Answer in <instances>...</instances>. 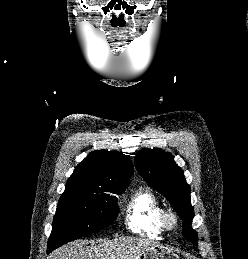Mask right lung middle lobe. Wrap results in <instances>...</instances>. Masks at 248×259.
Segmentation results:
<instances>
[{
	"label": "right lung middle lobe",
	"mask_w": 248,
	"mask_h": 259,
	"mask_svg": "<svg viewBox=\"0 0 248 259\" xmlns=\"http://www.w3.org/2000/svg\"><path fill=\"white\" fill-rule=\"evenodd\" d=\"M125 189H65L57 205L48 245L56 248L109 226L117 217V198Z\"/></svg>",
	"instance_id": "obj_1"
}]
</instances>
